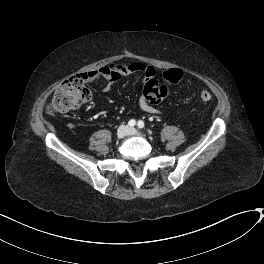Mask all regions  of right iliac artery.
Returning a JSON list of instances; mask_svg holds the SVG:
<instances>
[{"mask_svg": "<svg viewBox=\"0 0 264 264\" xmlns=\"http://www.w3.org/2000/svg\"><path fill=\"white\" fill-rule=\"evenodd\" d=\"M136 125V121L134 119H131L129 122H128V126L130 127H134Z\"/></svg>", "mask_w": 264, "mask_h": 264, "instance_id": "82829eb1", "label": "right iliac artery"}]
</instances>
